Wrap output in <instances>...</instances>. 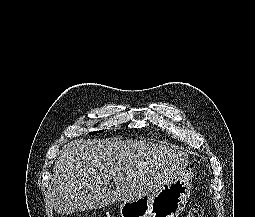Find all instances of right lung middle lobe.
<instances>
[{
  "instance_id": "dd1d6c3e",
  "label": "right lung middle lobe",
  "mask_w": 255,
  "mask_h": 217,
  "mask_svg": "<svg viewBox=\"0 0 255 217\" xmlns=\"http://www.w3.org/2000/svg\"><path fill=\"white\" fill-rule=\"evenodd\" d=\"M98 132L100 133V132H102V131H98ZM95 133H97V132H91L90 134H95Z\"/></svg>"
}]
</instances>
